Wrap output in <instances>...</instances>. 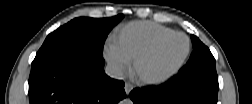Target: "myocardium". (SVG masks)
<instances>
[{
    "mask_svg": "<svg viewBox=\"0 0 252 104\" xmlns=\"http://www.w3.org/2000/svg\"><path fill=\"white\" fill-rule=\"evenodd\" d=\"M176 35L178 36H183L185 37L186 41H187V47L186 50L184 52V54L182 55V57L173 65H171L170 67H168L167 69L163 70L160 73L157 74H153V75H148V74H141L138 71V66L140 64L141 61H143L146 57H148L149 55H151L150 53L152 52L153 47L150 48H146L144 50H142L133 60V70L135 72V74L137 75V77L143 81V82H152L154 80L160 79L164 76H166L168 73L176 70L177 68H179L181 66V64L184 62V60L186 59L189 51H190V39L186 34L183 33H177Z\"/></svg>",
    "mask_w": 252,
    "mask_h": 104,
    "instance_id": "obj_1",
    "label": "myocardium"
}]
</instances>
